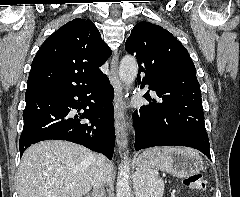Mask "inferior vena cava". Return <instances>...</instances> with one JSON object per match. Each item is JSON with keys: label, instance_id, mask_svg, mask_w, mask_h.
Here are the masks:
<instances>
[{"label": "inferior vena cava", "instance_id": "1", "mask_svg": "<svg viewBox=\"0 0 240 197\" xmlns=\"http://www.w3.org/2000/svg\"><path fill=\"white\" fill-rule=\"evenodd\" d=\"M108 164L106 157L102 154L96 155V172L93 178V193L104 194V184L107 180Z\"/></svg>", "mask_w": 240, "mask_h": 197}]
</instances>
